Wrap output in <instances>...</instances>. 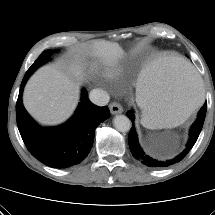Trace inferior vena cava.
<instances>
[{"label": "inferior vena cava", "mask_w": 215, "mask_h": 215, "mask_svg": "<svg viewBox=\"0 0 215 215\" xmlns=\"http://www.w3.org/2000/svg\"><path fill=\"white\" fill-rule=\"evenodd\" d=\"M89 99L98 106H105L108 104L110 97L107 92L101 89H93L90 92Z\"/></svg>", "instance_id": "602c4592"}]
</instances>
